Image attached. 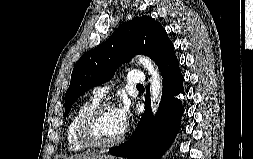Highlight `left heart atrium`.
I'll return each instance as SVG.
<instances>
[{
	"label": "left heart atrium",
	"instance_id": "1",
	"mask_svg": "<svg viewBox=\"0 0 253 159\" xmlns=\"http://www.w3.org/2000/svg\"><path fill=\"white\" fill-rule=\"evenodd\" d=\"M116 111L122 127L126 129L131 117L130 105L127 102H124L116 109Z\"/></svg>",
	"mask_w": 253,
	"mask_h": 159
}]
</instances>
